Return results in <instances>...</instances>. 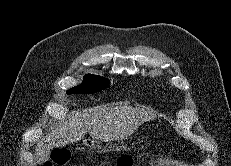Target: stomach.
Here are the masks:
<instances>
[{
	"instance_id": "1",
	"label": "stomach",
	"mask_w": 231,
	"mask_h": 166,
	"mask_svg": "<svg viewBox=\"0 0 231 166\" xmlns=\"http://www.w3.org/2000/svg\"><path fill=\"white\" fill-rule=\"evenodd\" d=\"M86 145L89 146V147H91V148H95V147L98 146V144L96 142H94V141H91L90 145L89 144H86Z\"/></svg>"
}]
</instances>
